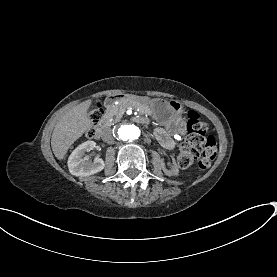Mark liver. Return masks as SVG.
<instances>
[{"label": "liver", "mask_w": 277, "mask_h": 277, "mask_svg": "<svg viewBox=\"0 0 277 277\" xmlns=\"http://www.w3.org/2000/svg\"><path fill=\"white\" fill-rule=\"evenodd\" d=\"M91 100H86L70 109L57 122L51 137V147L55 157L62 160L69 147L86 132L91 121L87 110Z\"/></svg>", "instance_id": "1"}]
</instances>
